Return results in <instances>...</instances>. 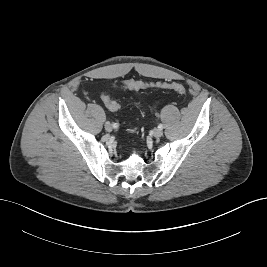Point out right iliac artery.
Returning <instances> with one entry per match:
<instances>
[{
    "mask_svg": "<svg viewBox=\"0 0 267 267\" xmlns=\"http://www.w3.org/2000/svg\"><path fill=\"white\" fill-rule=\"evenodd\" d=\"M112 126H113L114 128H117V127H118V124H117V123H113Z\"/></svg>",
    "mask_w": 267,
    "mask_h": 267,
    "instance_id": "obj_1",
    "label": "right iliac artery"
}]
</instances>
